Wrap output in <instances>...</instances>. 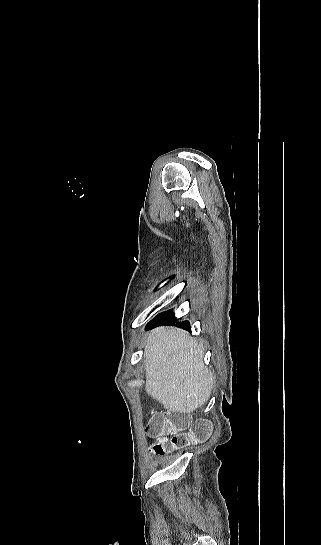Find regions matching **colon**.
I'll return each instance as SVG.
<instances>
[{
  "instance_id": "colon-1",
  "label": "colon",
  "mask_w": 321,
  "mask_h": 545,
  "mask_svg": "<svg viewBox=\"0 0 321 545\" xmlns=\"http://www.w3.org/2000/svg\"><path fill=\"white\" fill-rule=\"evenodd\" d=\"M189 424L190 417L186 412H152L146 429L152 439L151 450L164 455L191 444L202 443L211 435L212 428L208 420H198L187 430Z\"/></svg>"
}]
</instances>
